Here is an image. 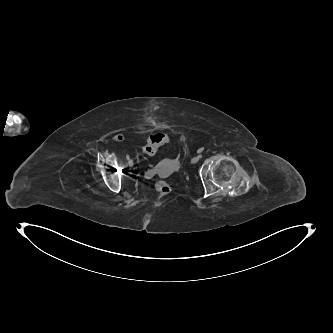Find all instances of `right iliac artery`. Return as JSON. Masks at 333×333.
Listing matches in <instances>:
<instances>
[{"label": "right iliac artery", "instance_id": "right-iliac-artery-1", "mask_svg": "<svg viewBox=\"0 0 333 333\" xmlns=\"http://www.w3.org/2000/svg\"><path fill=\"white\" fill-rule=\"evenodd\" d=\"M127 160L129 161V155H126Z\"/></svg>", "mask_w": 333, "mask_h": 333}]
</instances>
